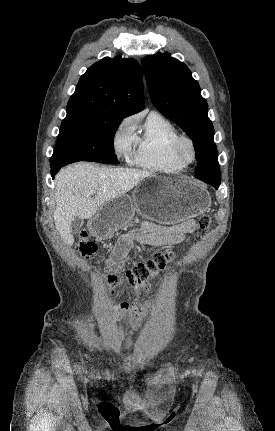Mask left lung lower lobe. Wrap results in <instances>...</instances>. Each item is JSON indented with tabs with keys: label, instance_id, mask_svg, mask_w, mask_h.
<instances>
[{
	"label": "left lung lower lobe",
	"instance_id": "left-lung-lower-lobe-1",
	"mask_svg": "<svg viewBox=\"0 0 275 431\" xmlns=\"http://www.w3.org/2000/svg\"><path fill=\"white\" fill-rule=\"evenodd\" d=\"M213 172H207L203 175H197V178L212 185L215 189H218L221 181H216Z\"/></svg>",
	"mask_w": 275,
	"mask_h": 431
}]
</instances>
